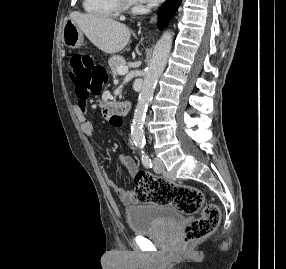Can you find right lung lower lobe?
<instances>
[{"label": "right lung lower lobe", "instance_id": "obj_1", "mask_svg": "<svg viewBox=\"0 0 286 269\" xmlns=\"http://www.w3.org/2000/svg\"><path fill=\"white\" fill-rule=\"evenodd\" d=\"M181 0H168L159 10L158 26L163 29L177 11Z\"/></svg>", "mask_w": 286, "mask_h": 269}]
</instances>
